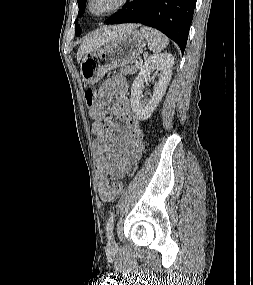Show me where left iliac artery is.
<instances>
[{
    "instance_id": "1",
    "label": "left iliac artery",
    "mask_w": 253,
    "mask_h": 285,
    "mask_svg": "<svg viewBox=\"0 0 253 285\" xmlns=\"http://www.w3.org/2000/svg\"><path fill=\"white\" fill-rule=\"evenodd\" d=\"M114 218H115V215L114 213H112L106 224V232H107L108 237H110L113 232Z\"/></svg>"
}]
</instances>
